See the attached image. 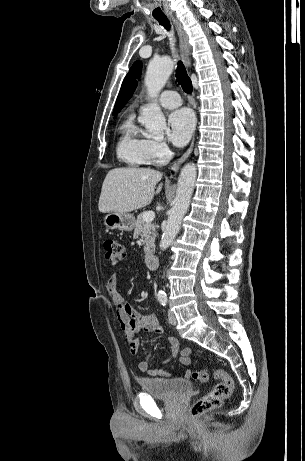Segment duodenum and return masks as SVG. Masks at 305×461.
<instances>
[{
  "instance_id": "1",
  "label": "duodenum",
  "mask_w": 305,
  "mask_h": 461,
  "mask_svg": "<svg viewBox=\"0 0 305 461\" xmlns=\"http://www.w3.org/2000/svg\"><path fill=\"white\" fill-rule=\"evenodd\" d=\"M145 263H146L147 268L150 270L156 268L158 259L154 252L152 251L148 252L146 259H145Z\"/></svg>"
}]
</instances>
